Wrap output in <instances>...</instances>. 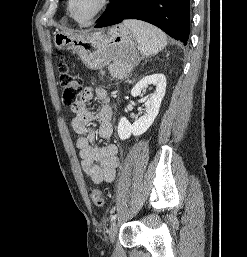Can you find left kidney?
<instances>
[{"instance_id": "1", "label": "left kidney", "mask_w": 247, "mask_h": 257, "mask_svg": "<svg viewBox=\"0 0 247 257\" xmlns=\"http://www.w3.org/2000/svg\"><path fill=\"white\" fill-rule=\"evenodd\" d=\"M155 87V92L150 94L145 102V113L131 124L125 117L120 119L117 132L121 140L128 139L131 135L140 136L153 124L160 109L161 102L166 92V78L163 74H153L143 77L131 90V95L137 97L149 86Z\"/></svg>"}]
</instances>
